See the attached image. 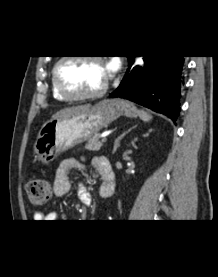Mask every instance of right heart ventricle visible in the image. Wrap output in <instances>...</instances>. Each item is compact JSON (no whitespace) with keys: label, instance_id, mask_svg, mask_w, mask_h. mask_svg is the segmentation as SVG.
<instances>
[{"label":"right heart ventricle","instance_id":"obj_1","mask_svg":"<svg viewBox=\"0 0 218 277\" xmlns=\"http://www.w3.org/2000/svg\"><path fill=\"white\" fill-rule=\"evenodd\" d=\"M52 82V94H53V97L58 100V101H66L65 98H63L57 91L56 87H55V84H54V81H53V78L51 80Z\"/></svg>","mask_w":218,"mask_h":277}]
</instances>
